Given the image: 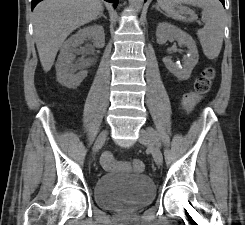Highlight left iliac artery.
<instances>
[{"instance_id": "44dca946", "label": "left iliac artery", "mask_w": 245, "mask_h": 225, "mask_svg": "<svg viewBox=\"0 0 245 225\" xmlns=\"http://www.w3.org/2000/svg\"><path fill=\"white\" fill-rule=\"evenodd\" d=\"M148 132L150 135L154 138L155 144L160 147V142L159 140L154 136V130L152 128H148Z\"/></svg>"}]
</instances>
